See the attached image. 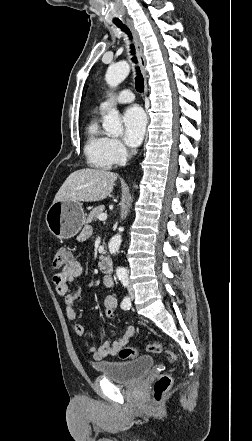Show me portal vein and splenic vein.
I'll use <instances>...</instances> for the list:
<instances>
[{"instance_id":"1","label":"portal vein and splenic vein","mask_w":252,"mask_h":441,"mask_svg":"<svg viewBox=\"0 0 252 441\" xmlns=\"http://www.w3.org/2000/svg\"><path fill=\"white\" fill-rule=\"evenodd\" d=\"M98 219H99L100 221H105V220L107 219V214H104V213L100 214V215L98 216Z\"/></svg>"}]
</instances>
